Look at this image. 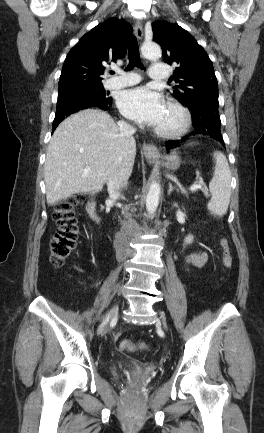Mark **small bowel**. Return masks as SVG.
I'll use <instances>...</instances> for the list:
<instances>
[{
    "mask_svg": "<svg viewBox=\"0 0 264 433\" xmlns=\"http://www.w3.org/2000/svg\"><path fill=\"white\" fill-rule=\"evenodd\" d=\"M207 260V255L205 252H195L187 257V263L194 266H202Z\"/></svg>",
    "mask_w": 264,
    "mask_h": 433,
    "instance_id": "c3829d8e",
    "label": "small bowel"
}]
</instances>
